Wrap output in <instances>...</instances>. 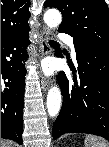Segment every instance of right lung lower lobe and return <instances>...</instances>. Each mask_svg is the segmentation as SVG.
Instances as JSON below:
<instances>
[{
  "label": "right lung lower lobe",
  "mask_w": 109,
  "mask_h": 147,
  "mask_svg": "<svg viewBox=\"0 0 109 147\" xmlns=\"http://www.w3.org/2000/svg\"><path fill=\"white\" fill-rule=\"evenodd\" d=\"M28 31L1 40V138L22 144ZM7 58H10L8 60Z\"/></svg>",
  "instance_id": "obj_1"
}]
</instances>
